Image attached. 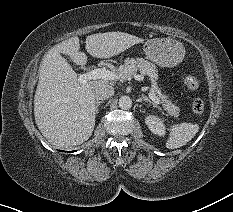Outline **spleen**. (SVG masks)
<instances>
[{"label": "spleen", "mask_w": 233, "mask_h": 212, "mask_svg": "<svg viewBox=\"0 0 233 212\" xmlns=\"http://www.w3.org/2000/svg\"><path fill=\"white\" fill-rule=\"evenodd\" d=\"M199 131V125L193 123H181L174 125L170 129V137L166 142L168 149H176L184 146L189 142Z\"/></svg>", "instance_id": "obj_1"}]
</instances>
